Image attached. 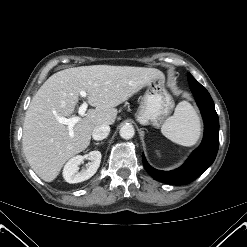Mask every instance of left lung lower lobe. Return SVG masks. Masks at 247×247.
<instances>
[{"instance_id": "1", "label": "left lung lower lobe", "mask_w": 247, "mask_h": 247, "mask_svg": "<svg viewBox=\"0 0 247 247\" xmlns=\"http://www.w3.org/2000/svg\"><path fill=\"white\" fill-rule=\"evenodd\" d=\"M188 81L204 120V137L201 145L180 168L173 171L154 169L143 155L146 171L154 179L172 185L188 184L199 177L214 162L219 147V119L213 100L208 91L193 76L188 77Z\"/></svg>"}]
</instances>
